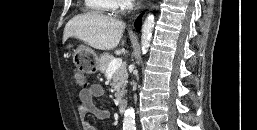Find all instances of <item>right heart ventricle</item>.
<instances>
[{
	"instance_id": "obj_1",
	"label": "right heart ventricle",
	"mask_w": 257,
	"mask_h": 130,
	"mask_svg": "<svg viewBox=\"0 0 257 130\" xmlns=\"http://www.w3.org/2000/svg\"><path fill=\"white\" fill-rule=\"evenodd\" d=\"M84 2L89 11L97 14H108L118 7L117 0H84Z\"/></svg>"
}]
</instances>
